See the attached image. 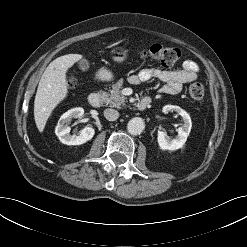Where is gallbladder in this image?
Returning a JSON list of instances; mask_svg holds the SVG:
<instances>
[{"label":"gallbladder","mask_w":247,"mask_h":247,"mask_svg":"<svg viewBox=\"0 0 247 247\" xmlns=\"http://www.w3.org/2000/svg\"><path fill=\"white\" fill-rule=\"evenodd\" d=\"M78 67L81 71H87L90 67V63L87 59H82L78 62Z\"/></svg>","instance_id":"obj_1"}]
</instances>
